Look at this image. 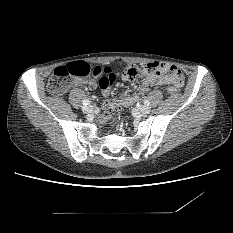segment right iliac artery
Instances as JSON below:
<instances>
[{"instance_id":"right-iliac-artery-1","label":"right iliac artery","mask_w":233,"mask_h":233,"mask_svg":"<svg viewBox=\"0 0 233 233\" xmlns=\"http://www.w3.org/2000/svg\"><path fill=\"white\" fill-rule=\"evenodd\" d=\"M89 104H90V101H89V100H87V99L83 100V105L87 106V105H89Z\"/></svg>"}]
</instances>
